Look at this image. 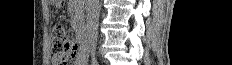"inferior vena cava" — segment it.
Returning a JSON list of instances; mask_svg holds the SVG:
<instances>
[{
  "label": "inferior vena cava",
  "mask_w": 232,
  "mask_h": 65,
  "mask_svg": "<svg viewBox=\"0 0 232 65\" xmlns=\"http://www.w3.org/2000/svg\"><path fill=\"white\" fill-rule=\"evenodd\" d=\"M99 13V0H86V28L92 54H94L97 44Z\"/></svg>",
  "instance_id": "1"
}]
</instances>
